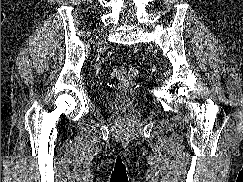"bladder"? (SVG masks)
Listing matches in <instances>:
<instances>
[{
    "mask_svg": "<svg viewBox=\"0 0 243 182\" xmlns=\"http://www.w3.org/2000/svg\"><path fill=\"white\" fill-rule=\"evenodd\" d=\"M103 100H105L106 101V99H103ZM117 100V99H116ZM128 105H132V103H128Z\"/></svg>",
    "mask_w": 243,
    "mask_h": 182,
    "instance_id": "bladder-1",
    "label": "bladder"
}]
</instances>
